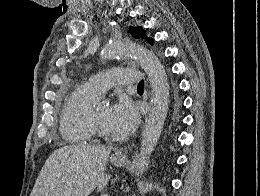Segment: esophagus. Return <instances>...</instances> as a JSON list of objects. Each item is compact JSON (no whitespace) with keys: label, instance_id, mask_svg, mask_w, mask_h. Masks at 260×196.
I'll return each mask as SVG.
<instances>
[{"label":"esophagus","instance_id":"34e87169","mask_svg":"<svg viewBox=\"0 0 260 196\" xmlns=\"http://www.w3.org/2000/svg\"><path fill=\"white\" fill-rule=\"evenodd\" d=\"M134 144L125 146L123 148L117 149L113 154V159H125L129 150L133 148Z\"/></svg>","mask_w":260,"mask_h":196}]
</instances>
